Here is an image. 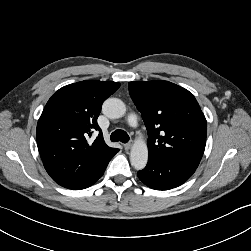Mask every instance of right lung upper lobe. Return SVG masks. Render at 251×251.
<instances>
[{
  "mask_svg": "<svg viewBox=\"0 0 251 251\" xmlns=\"http://www.w3.org/2000/svg\"><path fill=\"white\" fill-rule=\"evenodd\" d=\"M119 87L117 82L85 80L62 87L49 99L38 120L36 139L54 181L87 177L118 150L106 145L97 118L102 103ZM94 130L99 135L88 144Z\"/></svg>",
  "mask_w": 251,
  "mask_h": 251,
  "instance_id": "1",
  "label": "right lung upper lobe"
}]
</instances>
